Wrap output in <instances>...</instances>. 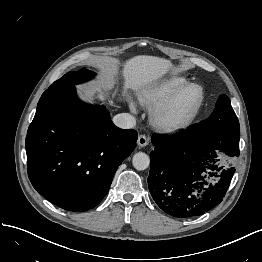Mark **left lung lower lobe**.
<instances>
[{
    "label": "left lung lower lobe",
    "mask_w": 262,
    "mask_h": 262,
    "mask_svg": "<svg viewBox=\"0 0 262 262\" xmlns=\"http://www.w3.org/2000/svg\"><path fill=\"white\" fill-rule=\"evenodd\" d=\"M240 131L204 134L188 129L172 136L153 135L148 188L167 214L190 218L217 206L234 175Z\"/></svg>",
    "instance_id": "left-lung-lower-lobe-1"
}]
</instances>
